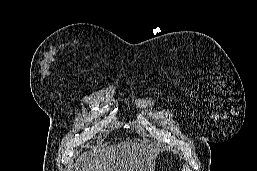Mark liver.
I'll use <instances>...</instances> for the list:
<instances>
[{
	"label": "liver",
	"instance_id": "6515ba94",
	"mask_svg": "<svg viewBox=\"0 0 257 171\" xmlns=\"http://www.w3.org/2000/svg\"><path fill=\"white\" fill-rule=\"evenodd\" d=\"M157 153L142 141L122 142L81 154L74 171H154Z\"/></svg>",
	"mask_w": 257,
	"mask_h": 171
}]
</instances>
